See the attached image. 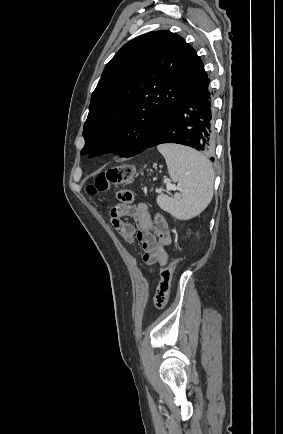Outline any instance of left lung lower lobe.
Instances as JSON below:
<instances>
[{
	"instance_id": "left-lung-lower-lobe-1",
	"label": "left lung lower lobe",
	"mask_w": 283,
	"mask_h": 434,
	"mask_svg": "<svg viewBox=\"0 0 283 434\" xmlns=\"http://www.w3.org/2000/svg\"><path fill=\"white\" fill-rule=\"evenodd\" d=\"M163 143L182 144L212 153L214 106L208 75L181 96L146 149Z\"/></svg>"
}]
</instances>
